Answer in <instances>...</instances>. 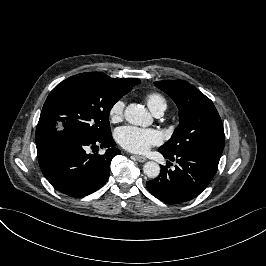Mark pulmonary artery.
<instances>
[{
    "instance_id": "1",
    "label": "pulmonary artery",
    "mask_w": 266,
    "mask_h": 266,
    "mask_svg": "<svg viewBox=\"0 0 266 266\" xmlns=\"http://www.w3.org/2000/svg\"><path fill=\"white\" fill-rule=\"evenodd\" d=\"M162 113L160 112V113H156V115H161Z\"/></svg>"
}]
</instances>
